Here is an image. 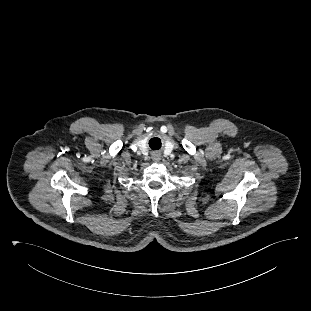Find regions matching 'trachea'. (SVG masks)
I'll list each match as a JSON object with an SVG mask.
<instances>
[{
  "mask_svg": "<svg viewBox=\"0 0 311 311\" xmlns=\"http://www.w3.org/2000/svg\"><path fill=\"white\" fill-rule=\"evenodd\" d=\"M157 138H153L151 141H154V140H156Z\"/></svg>",
  "mask_w": 311,
  "mask_h": 311,
  "instance_id": "trachea-1",
  "label": "trachea"
}]
</instances>
